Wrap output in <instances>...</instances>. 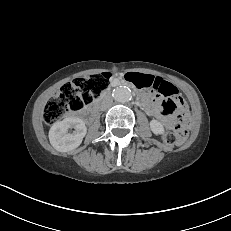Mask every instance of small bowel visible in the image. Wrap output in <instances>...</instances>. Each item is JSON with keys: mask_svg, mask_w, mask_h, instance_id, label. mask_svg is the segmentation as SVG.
<instances>
[{"mask_svg": "<svg viewBox=\"0 0 231 231\" xmlns=\"http://www.w3.org/2000/svg\"><path fill=\"white\" fill-rule=\"evenodd\" d=\"M128 79L135 85V87L143 90H148L149 92H143L144 108L152 116L162 119L167 125H174L175 118L170 115L169 105L171 101H166L163 104L160 103L151 94L152 92H157L161 84L170 82L166 81L162 77L147 74V73H129ZM173 86V85H172ZM185 108L182 101L179 100V108Z\"/></svg>", "mask_w": 231, "mask_h": 231, "instance_id": "c3829d8e", "label": "small bowel"}]
</instances>
